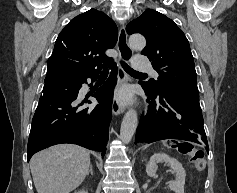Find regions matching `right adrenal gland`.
<instances>
[{"label":"right adrenal gland","instance_id":"right-adrenal-gland-1","mask_svg":"<svg viewBox=\"0 0 237 193\" xmlns=\"http://www.w3.org/2000/svg\"><path fill=\"white\" fill-rule=\"evenodd\" d=\"M89 173L93 175V168H92V165H91V167H90V169H89Z\"/></svg>","mask_w":237,"mask_h":193}]
</instances>
